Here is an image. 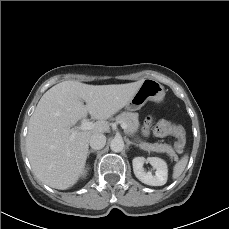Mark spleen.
<instances>
[{
	"label": "spleen",
	"instance_id": "obj_1",
	"mask_svg": "<svg viewBox=\"0 0 229 229\" xmlns=\"http://www.w3.org/2000/svg\"><path fill=\"white\" fill-rule=\"evenodd\" d=\"M188 162V156L185 155L184 157H182L174 166L173 168V179H177L180 177V175L183 173V171L185 170V167L187 165Z\"/></svg>",
	"mask_w": 229,
	"mask_h": 229
}]
</instances>
